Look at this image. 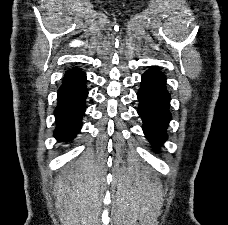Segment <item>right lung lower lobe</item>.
Returning a JSON list of instances; mask_svg holds the SVG:
<instances>
[{
	"label": "right lung lower lobe",
	"mask_w": 228,
	"mask_h": 225,
	"mask_svg": "<svg viewBox=\"0 0 228 225\" xmlns=\"http://www.w3.org/2000/svg\"><path fill=\"white\" fill-rule=\"evenodd\" d=\"M85 82V73L77 68L69 70L64 76L63 84L58 90V105L54 112V136L59 142L72 140L82 126L85 99L88 95Z\"/></svg>",
	"instance_id": "98d812e1"
}]
</instances>
